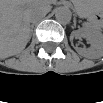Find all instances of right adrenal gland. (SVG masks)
Instances as JSON below:
<instances>
[{"mask_svg":"<svg viewBox=\"0 0 103 103\" xmlns=\"http://www.w3.org/2000/svg\"><path fill=\"white\" fill-rule=\"evenodd\" d=\"M33 28H34V25L32 24V25L30 26V33H31V34L33 33Z\"/></svg>","mask_w":103,"mask_h":103,"instance_id":"1","label":"right adrenal gland"}]
</instances>
